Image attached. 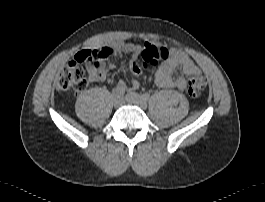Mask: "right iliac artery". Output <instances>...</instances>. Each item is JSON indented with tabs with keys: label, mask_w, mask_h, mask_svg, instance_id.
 Returning a JSON list of instances; mask_svg holds the SVG:
<instances>
[{
	"label": "right iliac artery",
	"mask_w": 265,
	"mask_h": 202,
	"mask_svg": "<svg viewBox=\"0 0 265 202\" xmlns=\"http://www.w3.org/2000/svg\"><path fill=\"white\" fill-rule=\"evenodd\" d=\"M125 89L123 87H116L112 91V97L115 98L117 96H123Z\"/></svg>",
	"instance_id": "1"
}]
</instances>
